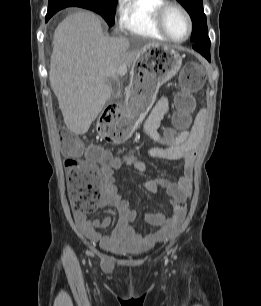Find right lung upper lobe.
<instances>
[{"instance_id":"cb5924a9","label":"right lung upper lobe","mask_w":261,"mask_h":306,"mask_svg":"<svg viewBox=\"0 0 261 306\" xmlns=\"http://www.w3.org/2000/svg\"><path fill=\"white\" fill-rule=\"evenodd\" d=\"M49 1H59V0H49ZM64 1H75V0H64Z\"/></svg>"}]
</instances>
